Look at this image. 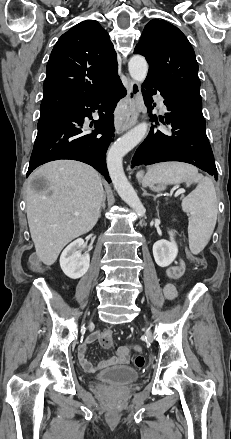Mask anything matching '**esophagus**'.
<instances>
[{
	"instance_id": "1",
	"label": "esophagus",
	"mask_w": 231,
	"mask_h": 439,
	"mask_svg": "<svg viewBox=\"0 0 231 439\" xmlns=\"http://www.w3.org/2000/svg\"><path fill=\"white\" fill-rule=\"evenodd\" d=\"M141 103L140 86L134 80L128 82L127 108L125 116L115 123V129L118 134L132 128L139 116V104Z\"/></svg>"
}]
</instances>
